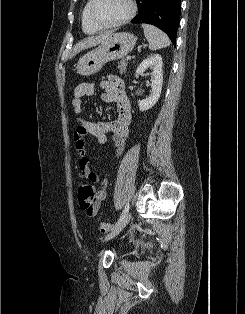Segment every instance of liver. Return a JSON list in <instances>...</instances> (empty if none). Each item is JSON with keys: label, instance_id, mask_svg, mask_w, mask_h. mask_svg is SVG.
Returning <instances> with one entry per match:
<instances>
[{"label": "liver", "instance_id": "1", "mask_svg": "<svg viewBox=\"0 0 245 314\" xmlns=\"http://www.w3.org/2000/svg\"><path fill=\"white\" fill-rule=\"evenodd\" d=\"M112 34H113L112 32H105V33H102L96 37H89L87 39H84L83 41L78 42L73 47L72 56L77 55L82 50H85V49H88V48H91L93 46L98 45L99 43H101L102 41L107 39Z\"/></svg>", "mask_w": 245, "mask_h": 314}]
</instances>
